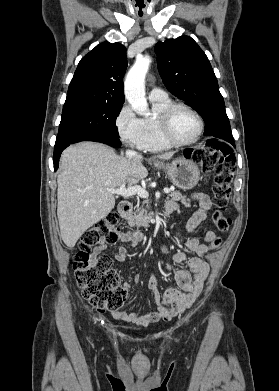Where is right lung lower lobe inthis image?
Instances as JSON below:
<instances>
[{"label":"right lung lower lobe","instance_id":"right-lung-lower-lobe-1","mask_svg":"<svg viewBox=\"0 0 279 391\" xmlns=\"http://www.w3.org/2000/svg\"><path fill=\"white\" fill-rule=\"evenodd\" d=\"M86 140L102 142V143H105V144H109V145H111L113 147H120L121 146V142H120L118 136L116 134L109 133V132L101 133V134H98V135H93V136H90V137L78 140L76 142L86 141ZM76 142H74V143H76ZM70 144L71 143L55 145L54 156H53V163H54V170L55 171L58 168V162H59V158H60V155H61L62 151L67 146H69Z\"/></svg>","mask_w":279,"mask_h":391}]
</instances>
